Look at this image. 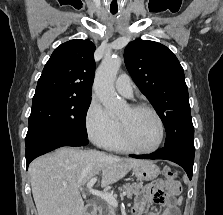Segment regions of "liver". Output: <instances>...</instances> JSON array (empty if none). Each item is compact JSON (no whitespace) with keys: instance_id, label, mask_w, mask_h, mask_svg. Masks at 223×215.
Listing matches in <instances>:
<instances>
[{"instance_id":"obj_1","label":"liver","mask_w":223,"mask_h":215,"mask_svg":"<svg viewBox=\"0 0 223 215\" xmlns=\"http://www.w3.org/2000/svg\"><path fill=\"white\" fill-rule=\"evenodd\" d=\"M144 161L147 159L77 147H60L56 153L37 157L30 163L29 173L38 215H83L81 185L102 169L101 185L105 187Z\"/></svg>"}]
</instances>
